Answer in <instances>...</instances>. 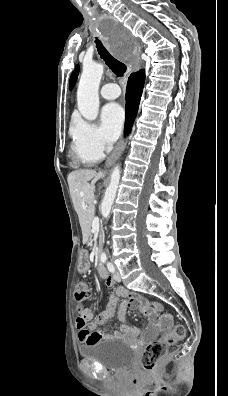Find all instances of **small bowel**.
Instances as JSON below:
<instances>
[{"label": "small bowel", "instance_id": "obj_1", "mask_svg": "<svg viewBox=\"0 0 228 396\" xmlns=\"http://www.w3.org/2000/svg\"><path fill=\"white\" fill-rule=\"evenodd\" d=\"M80 269L87 271L89 269V258L87 253H82L80 257ZM106 285L113 287L115 285L114 280L108 276L105 279ZM122 298L123 301L120 303L118 309V300ZM117 309L119 320L122 324L119 326L113 334H110L107 327H100L108 318L113 316ZM128 309L137 310L141 315L149 319V325L141 335L143 341L148 340L156 336L160 331L165 330L171 324V317L168 315L158 316L155 311L149 305V302L140 295L129 293L124 288H117L114 293L110 296L109 303L106 310L101 312L97 317L94 318L92 310L87 309L84 311L86 321H89L88 325L83 329H78V339L81 343L90 344L100 340L111 339V338H136L140 335V330L135 325L129 324L126 321V311Z\"/></svg>", "mask_w": 228, "mask_h": 396}]
</instances>
